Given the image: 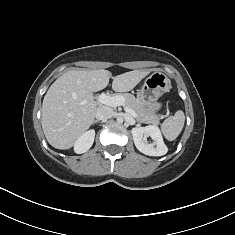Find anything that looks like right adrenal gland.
Masks as SVG:
<instances>
[{
	"label": "right adrenal gland",
	"mask_w": 235,
	"mask_h": 235,
	"mask_svg": "<svg viewBox=\"0 0 235 235\" xmlns=\"http://www.w3.org/2000/svg\"><path fill=\"white\" fill-rule=\"evenodd\" d=\"M97 122H99V120H94V121H93V124H94V123H97Z\"/></svg>",
	"instance_id": "obj_1"
}]
</instances>
